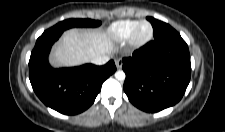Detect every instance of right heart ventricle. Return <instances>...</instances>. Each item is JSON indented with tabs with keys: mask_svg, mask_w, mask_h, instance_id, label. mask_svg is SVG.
Segmentation results:
<instances>
[{
	"mask_svg": "<svg viewBox=\"0 0 225 132\" xmlns=\"http://www.w3.org/2000/svg\"><path fill=\"white\" fill-rule=\"evenodd\" d=\"M137 23V20L131 19L116 21L107 28L106 36L114 42L125 41L130 36Z\"/></svg>",
	"mask_w": 225,
	"mask_h": 132,
	"instance_id": "obj_1",
	"label": "right heart ventricle"
}]
</instances>
